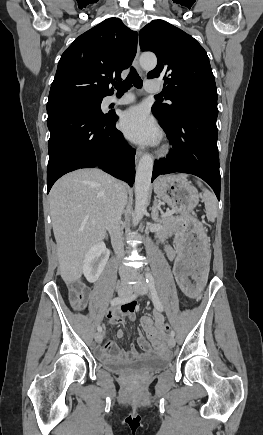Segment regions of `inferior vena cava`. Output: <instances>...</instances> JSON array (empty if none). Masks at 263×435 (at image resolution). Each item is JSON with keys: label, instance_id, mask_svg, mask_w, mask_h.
Here are the masks:
<instances>
[{"label": "inferior vena cava", "instance_id": "1", "mask_svg": "<svg viewBox=\"0 0 263 435\" xmlns=\"http://www.w3.org/2000/svg\"><path fill=\"white\" fill-rule=\"evenodd\" d=\"M127 201V194L125 187L121 183L115 185L114 193L112 196L108 216H107V229L110 233L112 247L118 256H122L124 252V244L122 240V233L120 229L121 215ZM121 275L129 274L130 270L124 266L119 270Z\"/></svg>", "mask_w": 263, "mask_h": 435}]
</instances>
